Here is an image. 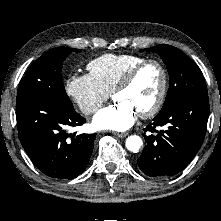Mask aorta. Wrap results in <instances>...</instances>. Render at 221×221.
Listing matches in <instances>:
<instances>
[{
  "mask_svg": "<svg viewBox=\"0 0 221 221\" xmlns=\"http://www.w3.org/2000/svg\"><path fill=\"white\" fill-rule=\"evenodd\" d=\"M126 148L133 152L137 153L143 145L142 139L137 135H131L127 137L125 142Z\"/></svg>",
  "mask_w": 221,
  "mask_h": 221,
  "instance_id": "762f6f07",
  "label": "aorta"
}]
</instances>
